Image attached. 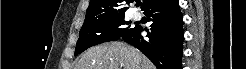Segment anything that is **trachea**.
<instances>
[{
    "instance_id": "3493384b",
    "label": "trachea",
    "mask_w": 246,
    "mask_h": 69,
    "mask_svg": "<svg viewBox=\"0 0 246 69\" xmlns=\"http://www.w3.org/2000/svg\"><path fill=\"white\" fill-rule=\"evenodd\" d=\"M137 6H141V2H138V3H137Z\"/></svg>"
}]
</instances>
